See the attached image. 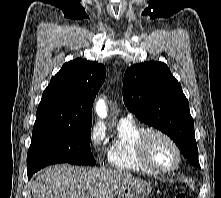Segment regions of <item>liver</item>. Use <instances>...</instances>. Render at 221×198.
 Returning <instances> with one entry per match:
<instances>
[{
	"mask_svg": "<svg viewBox=\"0 0 221 198\" xmlns=\"http://www.w3.org/2000/svg\"><path fill=\"white\" fill-rule=\"evenodd\" d=\"M133 175L122 170L49 166L31 182L33 198H105Z\"/></svg>",
	"mask_w": 221,
	"mask_h": 198,
	"instance_id": "1",
	"label": "liver"
}]
</instances>
